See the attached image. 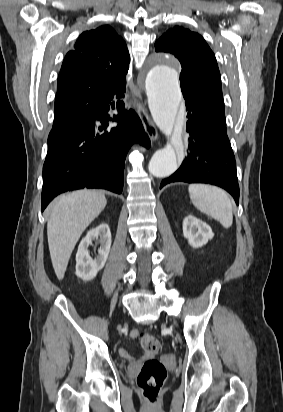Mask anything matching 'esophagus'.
Instances as JSON below:
<instances>
[{
  "mask_svg": "<svg viewBox=\"0 0 283 412\" xmlns=\"http://www.w3.org/2000/svg\"><path fill=\"white\" fill-rule=\"evenodd\" d=\"M137 112L143 124L144 130L146 134L148 135L149 139L151 140V142L157 140L158 138L157 128L153 124L152 120L150 119V116L148 115L146 109L141 103H137Z\"/></svg>",
  "mask_w": 283,
  "mask_h": 412,
  "instance_id": "34e87169",
  "label": "esophagus"
}]
</instances>
